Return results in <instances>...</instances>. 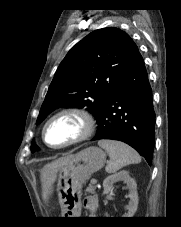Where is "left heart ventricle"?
Masks as SVG:
<instances>
[{"mask_svg":"<svg viewBox=\"0 0 181 227\" xmlns=\"http://www.w3.org/2000/svg\"><path fill=\"white\" fill-rule=\"evenodd\" d=\"M81 131L80 122L71 116H61L52 121L46 130V140L57 146L76 137Z\"/></svg>","mask_w":181,"mask_h":227,"instance_id":"b2bd125f","label":"left heart ventricle"}]
</instances>
